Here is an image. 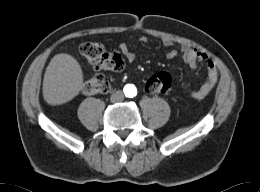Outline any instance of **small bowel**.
<instances>
[{"mask_svg":"<svg viewBox=\"0 0 260 192\" xmlns=\"http://www.w3.org/2000/svg\"><path fill=\"white\" fill-rule=\"evenodd\" d=\"M140 42L147 43V37H141ZM163 45L166 47H172L174 45L173 41L169 39L163 40ZM120 52L125 56L128 62H134L136 60V53L132 50L129 44L120 43L119 44ZM180 56L181 59L192 69L196 70L200 63L204 64L207 68V76L203 85L190 93V96L194 99H203L205 98L215 87L218 78L219 72L215 62L212 58L191 46L183 45L179 50L171 49L167 52L166 57L168 59H173Z\"/></svg>","mask_w":260,"mask_h":192,"instance_id":"obj_1","label":"small bowel"}]
</instances>
